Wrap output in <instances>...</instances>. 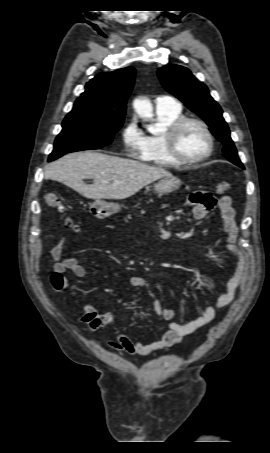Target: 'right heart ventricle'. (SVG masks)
<instances>
[{"label":"right heart ventricle","instance_id":"right-heart-ventricle-1","mask_svg":"<svg viewBox=\"0 0 270 453\" xmlns=\"http://www.w3.org/2000/svg\"><path fill=\"white\" fill-rule=\"evenodd\" d=\"M181 117V108L157 111L156 123L160 128V132L145 135L144 145L138 155L141 161L163 167H178L181 165L168 155L163 141L165 131L174 121Z\"/></svg>","mask_w":270,"mask_h":453}]
</instances>
